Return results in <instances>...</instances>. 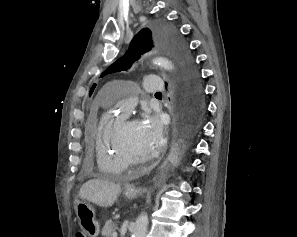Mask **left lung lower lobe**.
Returning a JSON list of instances; mask_svg holds the SVG:
<instances>
[{
    "label": "left lung lower lobe",
    "mask_w": 297,
    "mask_h": 237,
    "mask_svg": "<svg viewBox=\"0 0 297 237\" xmlns=\"http://www.w3.org/2000/svg\"><path fill=\"white\" fill-rule=\"evenodd\" d=\"M179 114L182 118V129L178 137L175 151L178 153L181 147L187 145L193 133L199 128L204 113V105H197L188 96L182 95L178 103Z\"/></svg>",
    "instance_id": "left-lung-lower-lobe-1"
}]
</instances>
